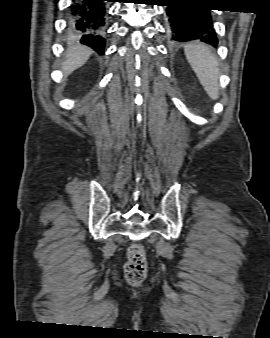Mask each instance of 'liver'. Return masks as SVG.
I'll return each instance as SVG.
<instances>
[{
    "instance_id": "obj_1",
    "label": "liver",
    "mask_w": 270,
    "mask_h": 338,
    "mask_svg": "<svg viewBox=\"0 0 270 338\" xmlns=\"http://www.w3.org/2000/svg\"><path fill=\"white\" fill-rule=\"evenodd\" d=\"M92 53L93 50L86 46L73 45L68 47L66 51V60L62 65V70L65 75H69L74 70L83 66Z\"/></svg>"
}]
</instances>
